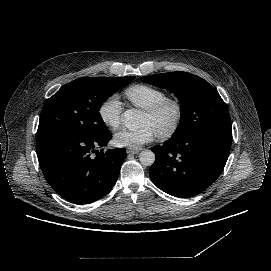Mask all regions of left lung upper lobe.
Instances as JSON below:
<instances>
[{
  "label": "left lung upper lobe",
  "mask_w": 271,
  "mask_h": 271,
  "mask_svg": "<svg viewBox=\"0 0 271 271\" xmlns=\"http://www.w3.org/2000/svg\"><path fill=\"white\" fill-rule=\"evenodd\" d=\"M157 87L170 90L181 99L182 118L172 136L187 134L204 127H231L225 102L204 79L187 72H169L141 77Z\"/></svg>",
  "instance_id": "left-lung-upper-lobe-1"
}]
</instances>
